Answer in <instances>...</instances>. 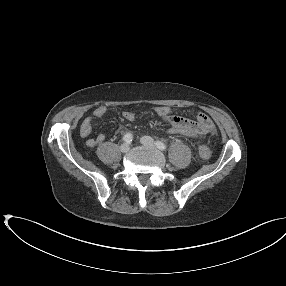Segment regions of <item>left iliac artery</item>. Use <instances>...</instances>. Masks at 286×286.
I'll list each match as a JSON object with an SVG mask.
<instances>
[{
	"instance_id": "44dca946",
	"label": "left iliac artery",
	"mask_w": 286,
	"mask_h": 286,
	"mask_svg": "<svg viewBox=\"0 0 286 286\" xmlns=\"http://www.w3.org/2000/svg\"><path fill=\"white\" fill-rule=\"evenodd\" d=\"M156 146H157V148H159L160 150H166V145L163 143V142H161V141H156Z\"/></svg>"
}]
</instances>
